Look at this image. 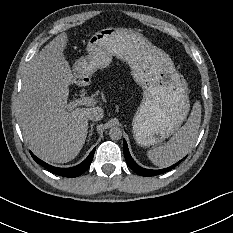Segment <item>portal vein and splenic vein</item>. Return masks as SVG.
Instances as JSON below:
<instances>
[{"label": "portal vein and splenic vein", "instance_id": "18ae733b", "mask_svg": "<svg viewBox=\"0 0 233 233\" xmlns=\"http://www.w3.org/2000/svg\"><path fill=\"white\" fill-rule=\"evenodd\" d=\"M96 102V100L94 98L91 97H86L80 100V103L82 104H87V105H94V103ZM78 103H75L74 106H77Z\"/></svg>", "mask_w": 233, "mask_h": 233}]
</instances>
